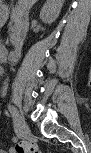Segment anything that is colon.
Returning a JSON list of instances; mask_svg holds the SVG:
<instances>
[{
  "label": "colon",
  "instance_id": "5ec220e1",
  "mask_svg": "<svg viewBox=\"0 0 91 153\" xmlns=\"http://www.w3.org/2000/svg\"><path fill=\"white\" fill-rule=\"evenodd\" d=\"M15 153H38V146L33 142H19L14 148Z\"/></svg>",
  "mask_w": 91,
  "mask_h": 153
}]
</instances>
